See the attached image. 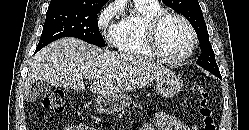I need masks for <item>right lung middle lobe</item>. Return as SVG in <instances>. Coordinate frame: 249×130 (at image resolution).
Here are the masks:
<instances>
[{"label": "right lung middle lobe", "instance_id": "right-lung-middle-lobe-1", "mask_svg": "<svg viewBox=\"0 0 249 130\" xmlns=\"http://www.w3.org/2000/svg\"><path fill=\"white\" fill-rule=\"evenodd\" d=\"M102 7L103 5L84 6L71 3L49 5L36 52L62 37H75L104 47L105 42L97 22V14Z\"/></svg>", "mask_w": 249, "mask_h": 130}]
</instances>
